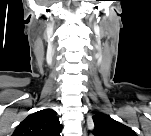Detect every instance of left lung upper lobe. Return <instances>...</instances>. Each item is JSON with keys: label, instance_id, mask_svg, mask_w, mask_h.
Returning a JSON list of instances; mask_svg holds the SVG:
<instances>
[{"label": "left lung upper lobe", "instance_id": "1", "mask_svg": "<svg viewBox=\"0 0 151 136\" xmlns=\"http://www.w3.org/2000/svg\"><path fill=\"white\" fill-rule=\"evenodd\" d=\"M93 122L95 136H136L131 128L103 113L94 115Z\"/></svg>", "mask_w": 151, "mask_h": 136}]
</instances>
